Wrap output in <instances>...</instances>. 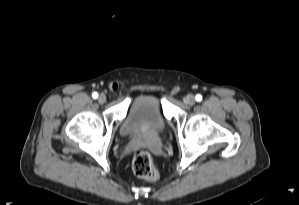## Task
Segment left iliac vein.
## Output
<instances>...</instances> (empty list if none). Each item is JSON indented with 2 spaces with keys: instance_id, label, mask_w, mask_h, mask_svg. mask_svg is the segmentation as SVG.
Here are the masks:
<instances>
[{
  "instance_id": "left-iliac-vein-1",
  "label": "left iliac vein",
  "mask_w": 299,
  "mask_h": 205,
  "mask_svg": "<svg viewBox=\"0 0 299 205\" xmlns=\"http://www.w3.org/2000/svg\"><path fill=\"white\" fill-rule=\"evenodd\" d=\"M184 102L187 104V105H193L195 103V97L194 95L192 94H188L185 99H184Z\"/></svg>"
}]
</instances>
